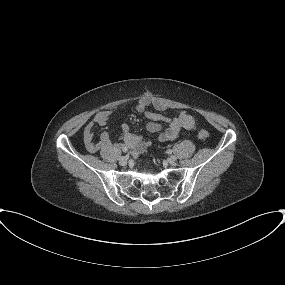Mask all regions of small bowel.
Instances as JSON below:
<instances>
[{
  "mask_svg": "<svg viewBox=\"0 0 285 285\" xmlns=\"http://www.w3.org/2000/svg\"><path fill=\"white\" fill-rule=\"evenodd\" d=\"M149 107H153L155 110L161 112L167 110L168 105L161 100L143 97L136 106V110L149 120L146 124V130L152 134L158 133L157 140L159 142L174 140L181 132L192 131L197 127L196 118L188 114L185 110H178L173 117H165L160 113L150 111ZM112 115L113 112L110 110L99 111L93 120L85 126L83 135L88 151L97 152L112 146L110 134L106 131L101 133L99 141H95L94 139L95 127L106 126ZM162 121L167 124L166 128L161 124ZM120 140L121 143L118 146L131 150L134 155L143 153L151 145L150 140L131 133L127 124L121 125Z\"/></svg>",
  "mask_w": 285,
  "mask_h": 285,
  "instance_id": "small-bowel-1",
  "label": "small bowel"
}]
</instances>
